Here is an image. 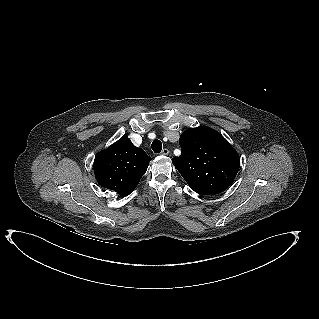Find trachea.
<instances>
[{
    "label": "trachea",
    "instance_id": "1",
    "mask_svg": "<svg viewBox=\"0 0 319 319\" xmlns=\"http://www.w3.org/2000/svg\"><path fill=\"white\" fill-rule=\"evenodd\" d=\"M152 150L155 153H160L162 150V143L158 139H155L151 144Z\"/></svg>",
    "mask_w": 319,
    "mask_h": 319
}]
</instances>
